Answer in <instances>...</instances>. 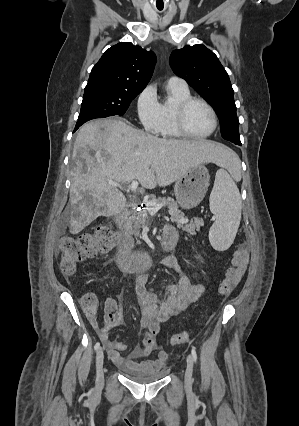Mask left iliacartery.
<instances>
[{"mask_svg":"<svg viewBox=\"0 0 299 426\" xmlns=\"http://www.w3.org/2000/svg\"><path fill=\"white\" fill-rule=\"evenodd\" d=\"M191 354H192L194 362H196L197 361V353H196V350H195L194 347H192V349H191Z\"/></svg>","mask_w":299,"mask_h":426,"instance_id":"44dca946","label":"left iliac artery"}]
</instances>
